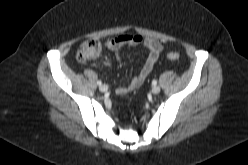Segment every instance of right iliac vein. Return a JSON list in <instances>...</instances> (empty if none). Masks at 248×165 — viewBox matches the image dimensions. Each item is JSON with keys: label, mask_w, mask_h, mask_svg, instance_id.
Masks as SVG:
<instances>
[{"label": "right iliac vein", "mask_w": 248, "mask_h": 165, "mask_svg": "<svg viewBox=\"0 0 248 165\" xmlns=\"http://www.w3.org/2000/svg\"><path fill=\"white\" fill-rule=\"evenodd\" d=\"M99 90H100L101 92H106V91L108 90V87H107L106 85H101V86L99 87Z\"/></svg>", "instance_id": "1"}]
</instances>
